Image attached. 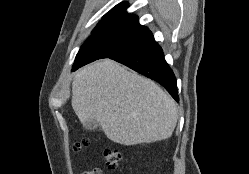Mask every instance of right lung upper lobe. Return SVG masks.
<instances>
[{"instance_id": "1", "label": "right lung upper lobe", "mask_w": 249, "mask_h": 174, "mask_svg": "<svg viewBox=\"0 0 249 174\" xmlns=\"http://www.w3.org/2000/svg\"><path fill=\"white\" fill-rule=\"evenodd\" d=\"M128 4L126 2L120 3L110 10L98 23L93 31H100L117 26H138L143 27L138 22V17L128 14L126 8Z\"/></svg>"}]
</instances>
